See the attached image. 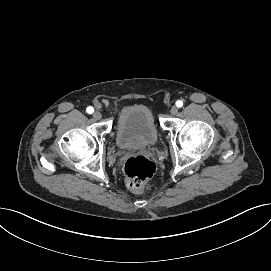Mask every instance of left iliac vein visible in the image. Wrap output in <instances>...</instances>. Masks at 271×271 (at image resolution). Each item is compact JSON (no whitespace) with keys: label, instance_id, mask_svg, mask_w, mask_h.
I'll use <instances>...</instances> for the list:
<instances>
[{"label":"left iliac vein","instance_id":"4c4485c4","mask_svg":"<svg viewBox=\"0 0 271 271\" xmlns=\"http://www.w3.org/2000/svg\"><path fill=\"white\" fill-rule=\"evenodd\" d=\"M170 113H171L172 115L177 114V113H178V107H177V106H172V107L170 108Z\"/></svg>","mask_w":271,"mask_h":271}]
</instances>
